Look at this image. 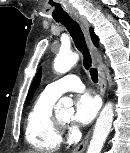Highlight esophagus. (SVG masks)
I'll list each match as a JSON object with an SVG mask.
<instances>
[{"instance_id": "obj_1", "label": "esophagus", "mask_w": 130, "mask_h": 153, "mask_svg": "<svg viewBox=\"0 0 130 153\" xmlns=\"http://www.w3.org/2000/svg\"><path fill=\"white\" fill-rule=\"evenodd\" d=\"M72 18L79 23V25L81 26V28L85 34L87 44L90 49L91 56L93 58L94 63L96 64V66L98 68L99 81H100V91H101L102 97H104L105 91L107 88L106 76H105V72H104L103 65H102L101 54H100L99 50L93 45V43L90 39L88 21L84 16H82L80 14H72ZM90 136H91V131H89L86 134V136L83 138V140L78 144V146L76 148H74L73 153H82L87 147Z\"/></svg>"}]
</instances>
